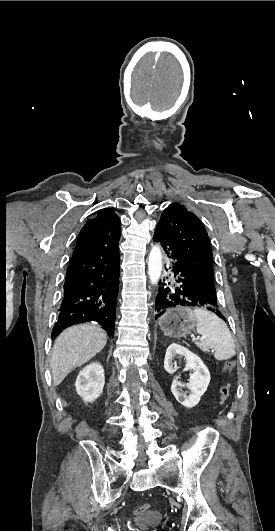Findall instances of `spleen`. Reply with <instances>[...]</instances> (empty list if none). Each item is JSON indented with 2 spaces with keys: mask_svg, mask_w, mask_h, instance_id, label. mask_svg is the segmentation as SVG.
Masks as SVG:
<instances>
[{
  "mask_svg": "<svg viewBox=\"0 0 275 531\" xmlns=\"http://www.w3.org/2000/svg\"><path fill=\"white\" fill-rule=\"evenodd\" d=\"M190 315L196 317V331L205 339V342L195 343L201 351L208 353L209 349L215 350L213 355L217 361H227L234 357L235 343L225 321L207 309H193Z\"/></svg>",
  "mask_w": 275,
  "mask_h": 531,
  "instance_id": "spleen-1",
  "label": "spleen"
}]
</instances>
